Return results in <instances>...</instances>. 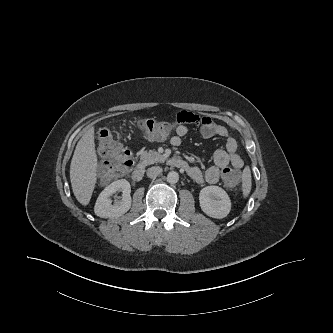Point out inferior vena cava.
Listing matches in <instances>:
<instances>
[{
	"label": "inferior vena cava",
	"instance_id": "602c4592",
	"mask_svg": "<svg viewBox=\"0 0 333 333\" xmlns=\"http://www.w3.org/2000/svg\"><path fill=\"white\" fill-rule=\"evenodd\" d=\"M162 168L159 167V166H153V167H150L148 168L147 170V176L149 178H156L159 174L162 173Z\"/></svg>",
	"mask_w": 333,
	"mask_h": 333
}]
</instances>
